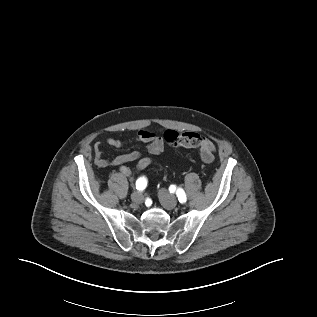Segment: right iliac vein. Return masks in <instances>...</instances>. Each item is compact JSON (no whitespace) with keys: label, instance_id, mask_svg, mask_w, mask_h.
Listing matches in <instances>:
<instances>
[{"label":"right iliac vein","instance_id":"63e3f726","mask_svg":"<svg viewBox=\"0 0 317 317\" xmlns=\"http://www.w3.org/2000/svg\"><path fill=\"white\" fill-rule=\"evenodd\" d=\"M131 200L136 204H140L143 202V197L139 192L136 191V192L132 193Z\"/></svg>","mask_w":317,"mask_h":317}]
</instances>
